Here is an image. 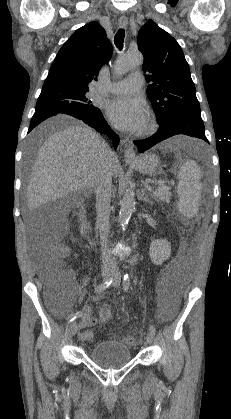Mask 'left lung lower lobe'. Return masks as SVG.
<instances>
[{
    "label": "left lung lower lobe",
    "instance_id": "0a47b994",
    "mask_svg": "<svg viewBox=\"0 0 231 419\" xmlns=\"http://www.w3.org/2000/svg\"><path fill=\"white\" fill-rule=\"evenodd\" d=\"M159 126L158 131L153 136L142 141H134V144L138 147L140 153L160 141L178 134L196 137L209 143L204 133V123L200 113H183L168 124L163 125L159 123Z\"/></svg>",
    "mask_w": 231,
    "mask_h": 419
}]
</instances>
